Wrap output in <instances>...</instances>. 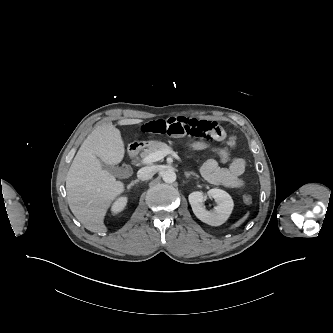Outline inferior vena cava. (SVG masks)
<instances>
[{
  "instance_id": "obj_1",
  "label": "inferior vena cava",
  "mask_w": 333,
  "mask_h": 333,
  "mask_svg": "<svg viewBox=\"0 0 333 333\" xmlns=\"http://www.w3.org/2000/svg\"><path fill=\"white\" fill-rule=\"evenodd\" d=\"M156 172L157 170L153 166L143 167L137 172V177L141 181H146L148 179H151Z\"/></svg>"
}]
</instances>
